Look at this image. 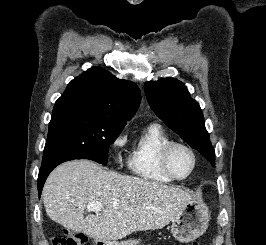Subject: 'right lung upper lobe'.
Here are the masks:
<instances>
[{"label":"right lung upper lobe","instance_id":"right-lung-upper-lobe-1","mask_svg":"<svg viewBox=\"0 0 266 245\" xmlns=\"http://www.w3.org/2000/svg\"><path fill=\"white\" fill-rule=\"evenodd\" d=\"M141 101L138 86L120 80L100 67H93L72 80L56 101L53 115L91 111L113 119L130 120Z\"/></svg>","mask_w":266,"mask_h":245}]
</instances>
